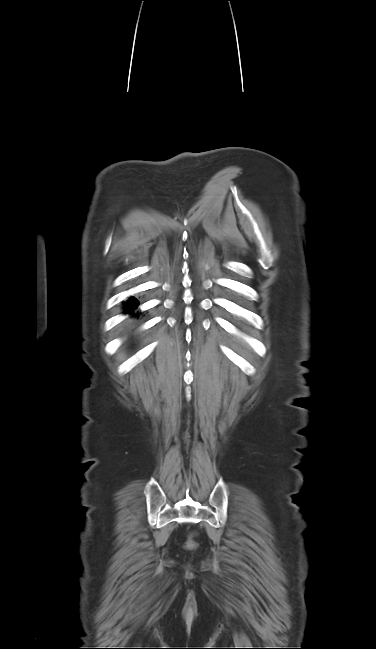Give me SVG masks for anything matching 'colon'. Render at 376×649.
Listing matches in <instances>:
<instances>
[{"label": "colon", "instance_id": "colon-1", "mask_svg": "<svg viewBox=\"0 0 376 649\" xmlns=\"http://www.w3.org/2000/svg\"><path fill=\"white\" fill-rule=\"evenodd\" d=\"M186 545H187L188 547H194V546H195V542H194V540H193L192 538H189V539L187 540V542H186Z\"/></svg>", "mask_w": 376, "mask_h": 649}]
</instances>
